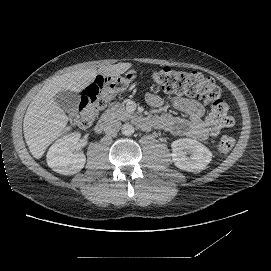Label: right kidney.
I'll list each match as a JSON object with an SVG mask.
<instances>
[{
	"label": "right kidney",
	"instance_id": "obj_1",
	"mask_svg": "<svg viewBox=\"0 0 271 271\" xmlns=\"http://www.w3.org/2000/svg\"><path fill=\"white\" fill-rule=\"evenodd\" d=\"M81 134L73 132L55 141L47 152V164L52 170L63 175H73L85 165L86 157L75 152Z\"/></svg>",
	"mask_w": 271,
	"mask_h": 271
}]
</instances>
